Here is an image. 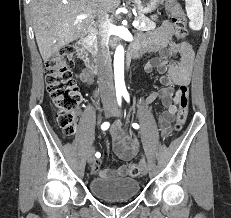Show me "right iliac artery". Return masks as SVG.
Segmentation results:
<instances>
[{"mask_svg": "<svg viewBox=\"0 0 231 218\" xmlns=\"http://www.w3.org/2000/svg\"><path fill=\"white\" fill-rule=\"evenodd\" d=\"M121 97H122V94L121 93H118L117 94V101H118V104L121 105ZM109 122H104L102 125H101V128L102 130H107L109 128ZM95 156L97 158H99L101 156V154L99 152H96Z\"/></svg>", "mask_w": 231, "mask_h": 218, "instance_id": "82829eb1", "label": "right iliac artery"}]
</instances>
